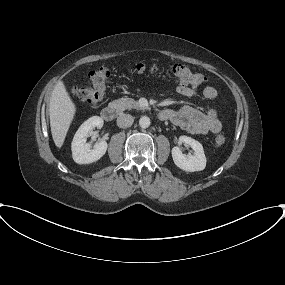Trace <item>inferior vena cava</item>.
I'll return each mask as SVG.
<instances>
[{"instance_id":"1","label":"inferior vena cava","mask_w":285,"mask_h":285,"mask_svg":"<svg viewBox=\"0 0 285 285\" xmlns=\"http://www.w3.org/2000/svg\"><path fill=\"white\" fill-rule=\"evenodd\" d=\"M134 118L130 114H120L117 118V125L120 128H127L132 126Z\"/></svg>"}]
</instances>
